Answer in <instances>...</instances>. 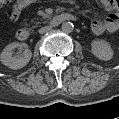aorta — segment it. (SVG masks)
<instances>
[{
  "label": "aorta",
  "mask_w": 119,
  "mask_h": 119,
  "mask_svg": "<svg viewBox=\"0 0 119 119\" xmlns=\"http://www.w3.org/2000/svg\"><path fill=\"white\" fill-rule=\"evenodd\" d=\"M73 28L74 26H73V23L71 22H64L61 25V29L65 33H71L73 31Z\"/></svg>",
  "instance_id": "obj_1"
}]
</instances>
